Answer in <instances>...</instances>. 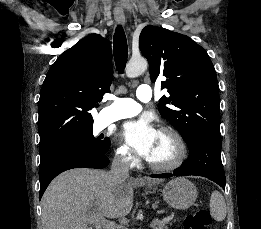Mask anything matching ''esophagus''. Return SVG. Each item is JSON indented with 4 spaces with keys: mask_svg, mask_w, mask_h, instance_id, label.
Returning <instances> with one entry per match:
<instances>
[{
    "mask_svg": "<svg viewBox=\"0 0 261 229\" xmlns=\"http://www.w3.org/2000/svg\"><path fill=\"white\" fill-rule=\"evenodd\" d=\"M114 19L119 25H124L126 21L124 15H114Z\"/></svg>",
    "mask_w": 261,
    "mask_h": 229,
    "instance_id": "obj_1",
    "label": "esophagus"
}]
</instances>
